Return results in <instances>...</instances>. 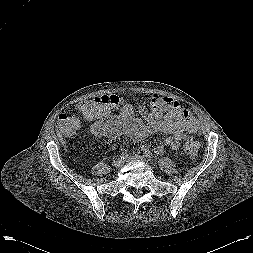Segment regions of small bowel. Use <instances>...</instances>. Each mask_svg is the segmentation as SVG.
<instances>
[{
  "mask_svg": "<svg viewBox=\"0 0 253 253\" xmlns=\"http://www.w3.org/2000/svg\"><path fill=\"white\" fill-rule=\"evenodd\" d=\"M139 113L143 118L144 122H142L135 115L134 108L132 107V105H124L120 109L119 118L117 120L122 126V128L117 129L115 127L113 130L110 131H106L104 129V123L110 121L103 119V117H109V112H107L104 115L95 118L97 120L91 125V132L95 136L100 137H114L118 134H124L135 141L144 140L155 132H162L169 135V137L166 138L163 143L155 146H145L146 151H150L155 154H161L166 147L177 150L180 147L181 141L186 139L188 137V134L195 133L197 131V128H194L192 130L185 129L178 121L174 119L147 118L144 116L142 108H140ZM115 147L116 145L114 144L113 148Z\"/></svg>",
  "mask_w": 253,
  "mask_h": 253,
  "instance_id": "c3829d8e",
  "label": "small bowel"
}]
</instances>
